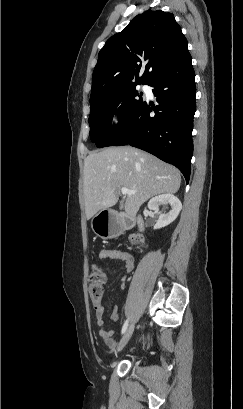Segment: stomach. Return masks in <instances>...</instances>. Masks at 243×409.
I'll return each mask as SVG.
<instances>
[{
  "label": "stomach",
  "mask_w": 243,
  "mask_h": 409,
  "mask_svg": "<svg viewBox=\"0 0 243 409\" xmlns=\"http://www.w3.org/2000/svg\"><path fill=\"white\" fill-rule=\"evenodd\" d=\"M103 211H100L97 215H95L92 219V229L93 231L102 238H111L113 236L110 228L108 227V222L101 221V214Z\"/></svg>",
  "instance_id": "stomach-1"
}]
</instances>
